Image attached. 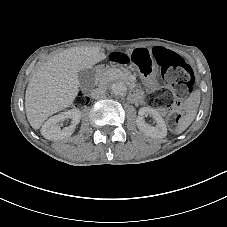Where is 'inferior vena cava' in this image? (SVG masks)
<instances>
[{
    "instance_id": "inferior-vena-cava-1",
    "label": "inferior vena cava",
    "mask_w": 227,
    "mask_h": 227,
    "mask_svg": "<svg viewBox=\"0 0 227 227\" xmlns=\"http://www.w3.org/2000/svg\"><path fill=\"white\" fill-rule=\"evenodd\" d=\"M105 95V91L101 87H97L95 89H92L90 92V96L93 99H100Z\"/></svg>"
}]
</instances>
